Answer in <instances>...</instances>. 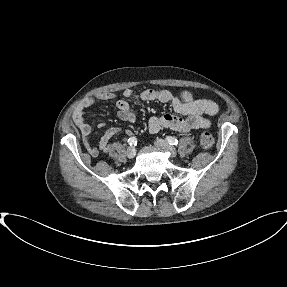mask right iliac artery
Instances as JSON below:
<instances>
[{
  "mask_svg": "<svg viewBox=\"0 0 287 287\" xmlns=\"http://www.w3.org/2000/svg\"><path fill=\"white\" fill-rule=\"evenodd\" d=\"M128 144H129L130 146L136 145V144H137V139H136V137H130V138L128 139Z\"/></svg>",
  "mask_w": 287,
  "mask_h": 287,
  "instance_id": "obj_1",
  "label": "right iliac artery"
}]
</instances>
